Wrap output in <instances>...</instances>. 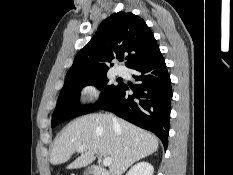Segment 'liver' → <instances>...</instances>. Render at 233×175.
Returning <instances> with one entry per match:
<instances>
[{
  "instance_id": "obj_1",
  "label": "liver",
  "mask_w": 233,
  "mask_h": 175,
  "mask_svg": "<svg viewBox=\"0 0 233 175\" xmlns=\"http://www.w3.org/2000/svg\"><path fill=\"white\" fill-rule=\"evenodd\" d=\"M81 146H85V150L67 169L86 167L94 161L95 155H101L112 159L110 175H122L133 163L154 153L158 140L111 114H88L72 121L60 134L51 152V164L67 162Z\"/></svg>"
}]
</instances>
